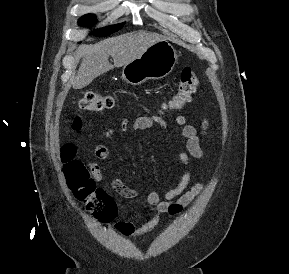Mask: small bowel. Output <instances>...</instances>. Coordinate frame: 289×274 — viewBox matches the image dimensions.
I'll return each mask as SVG.
<instances>
[{
  "label": "small bowel",
  "instance_id": "small-bowel-1",
  "mask_svg": "<svg viewBox=\"0 0 289 274\" xmlns=\"http://www.w3.org/2000/svg\"><path fill=\"white\" fill-rule=\"evenodd\" d=\"M171 116L166 110L159 109L154 115L140 116L133 123L135 130H144L154 128L157 125L166 126V118ZM174 123L179 130L180 135L186 140L184 148L179 152V159L185 171L176 187L167 191L163 197L157 191H150L147 194L146 200L149 206V211L145 215V222L137 226L133 222L120 221L115 225L116 230L124 236H140L150 232L155 228L163 213H178L185 206L189 205L202 191L203 186L200 183L193 185L187 190L191 180V172L189 170L190 159L201 160L204 157V151L201 147V135H204L209 128V120L204 119L201 130L187 123V119L183 115H178L174 119ZM129 123L126 119H122L118 128L121 131L127 130ZM115 132L113 129H107L104 136L111 140L114 138ZM94 154L99 159L109 158L110 152L104 144H98L94 148ZM89 171L95 181L102 180V170L95 162L88 163ZM111 188L119 196L123 198H134L137 196V191L123 183L120 179H114L111 182Z\"/></svg>",
  "mask_w": 289,
  "mask_h": 274
}]
</instances>
